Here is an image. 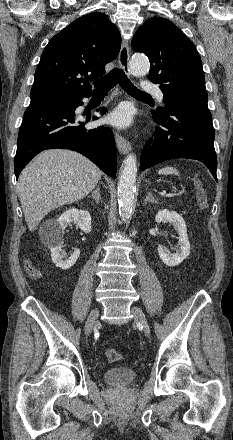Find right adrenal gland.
Returning a JSON list of instances; mask_svg holds the SVG:
<instances>
[{"instance_id": "right-adrenal-gland-1", "label": "right adrenal gland", "mask_w": 233, "mask_h": 440, "mask_svg": "<svg viewBox=\"0 0 233 440\" xmlns=\"http://www.w3.org/2000/svg\"><path fill=\"white\" fill-rule=\"evenodd\" d=\"M89 198H93L96 203H100L101 201V194H100V189L99 187H96V189L92 192V195L88 196Z\"/></svg>"}]
</instances>
